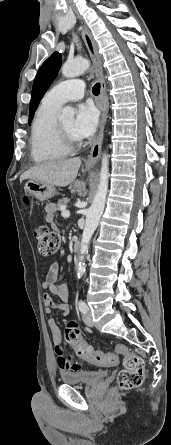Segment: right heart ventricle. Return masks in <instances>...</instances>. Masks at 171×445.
Here are the masks:
<instances>
[{
    "instance_id": "obj_1",
    "label": "right heart ventricle",
    "mask_w": 171,
    "mask_h": 445,
    "mask_svg": "<svg viewBox=\"0 0 171 445\" xmlns=\"http://www.w3.org/2000/svg\"><path fill=\"white\" fill-rule=\"evenodd\" d=\"M59 107L42 102L31 125L30 151L35 162L62 158L67 154L55 134L56 114Z\"/></svg>"
}]
</instances>
